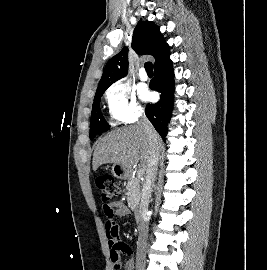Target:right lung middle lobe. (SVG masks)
<instances>
[{
    "instance_id": "right-lung-middle-lobe-1",
    "label": "right lung middle lobe",
    "mask_w": 267,
    "mask_h": 270,
    "mask_svg": "<svg viewBox=\"0 0 267 270\" xmlns=\"http://www.w3.org/2000/svg\"><path fill=\"white\" fill-rule=\"evenodd\" d=\"M105 91V90H104ZM104 91L95 94L90 124V139L92 140L97 134L102 133L110 128V125L105 121L100 110V99Z\"/></svg>"
}]
</instances>
